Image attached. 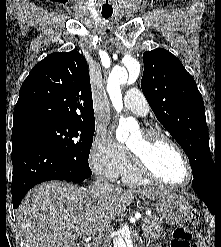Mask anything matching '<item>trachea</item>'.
<instances>
[{
	"mask_svg": "<svg viewBox=\"0 0 221 247\" xmlns=\"http://www.w3.org/2000/svg\"><path fill=\"white\" fill-rule=\"evenodd\" d=\"M102 16H103V18H105L107 20L111 17V14H102Z\"/></svg>",
	"mask_w": 221,
	"mask_h": 247,
	"instance_id": "1",
	"label": "trachea"
}]
</instances>
